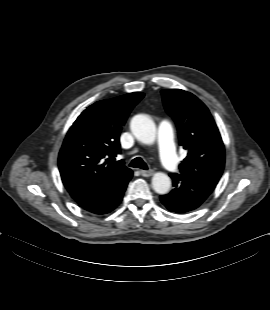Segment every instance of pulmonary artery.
I'll list each match as a JSON object with an SVG mask.
<instances>
[{"mask_svg": "<svg viewBox=\"0 0 270 310\" xmlns=\"http://www.w3.org/2000/svg\"><path fill=\"white\" fill-rule=\"evenodd\" d=\"M159 157L163 166L173 172L177 168V158L173 143V129L168 121H162L158 129Z\"/></svg>", "mask_w": 270, "mask_h": 310, "instance_id": "pulmonary-artery-1", "label": "pulmonary artery"}]
</instances>
